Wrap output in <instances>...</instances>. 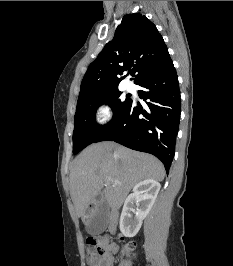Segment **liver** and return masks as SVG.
Listing matches in <instances>:
<instances>
[{
	"instance_id": "liver-1",
	"label": "liver",
	"mask_w": 233,
	"mask_h": 266,
	"mask_svg": "<svg viewBox=\"0 0 233 266\" xmlns=\"http://www.w3.org/2000/svg\"><path fill=\"white\" fill-rule=\"evenodd\" d=\"M165 169L154 156L133 151L114 142L88 146L74 160L70 172V195L76 215L85 224L93 217L87 215L89 203L103 190L109 207L118 209L134 185L153 179L163 181ZM106 178L119 181L107 183Z\"/></svg>"
}]
</instances>
